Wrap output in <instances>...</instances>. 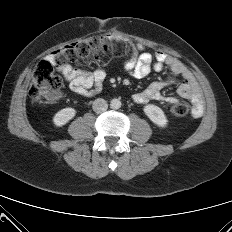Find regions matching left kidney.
I'll return each instance as SVG.
<instances>
[{
    "mask_svg": "<svg viewBox=\"0 0 232 232\" xmlns=\"http://www.w3.org/2000/svg\"><path fill=\"white\" fill-rule=\"evenodd\" d=\"M144 113L157 126L164 128L168 124V120L161 108L156 105L148 104L144 106Z\"/></svg>",
    "mask_w": 232,
    "mask_h": 232,
    "instance_id": "5707ae66",
    "label": "left kidney"
}]
</instances>
